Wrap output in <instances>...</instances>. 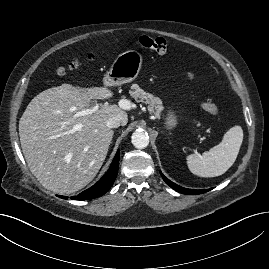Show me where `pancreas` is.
<instances>
[{
    "label": "pancreas",
    "mask_w": 269,
    "mask_h": 269,
    "mask_svg": "<svg viewBox=\"0 0 269 269\" xmlns=\"http://www.w3.org/2000/svg\"><path fill=\"white\" fill-rule=\"evenodd\" d=\"M129 94L137 101L143 102L147 105V109L151 114H154L156 117L161 115L163 110L162 101L160 98L155 97L154 95L145 92L137 84L131 86Z\"/></svg>",
    "instance_id": "1"
}]
</instances>
